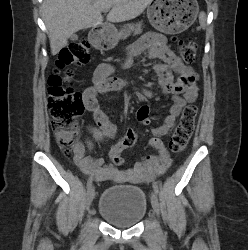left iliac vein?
<instances>
[{"mask_svg":"<svg viewBox=\"0 0 248 250\" xmlns=\"http://www.w3.org/2000/svg\"><path fill=\"white\" fill-rule=\"evenodd\" d=\"M151 203H152L154 213L158 216L160 214V206H159L158 197L155 193H152L151 195Z\"/></svg>","mask_w":248,"mask_h":250,"instance_id":"4c4485c4","label":"left iliac vein"}]
</instances>
